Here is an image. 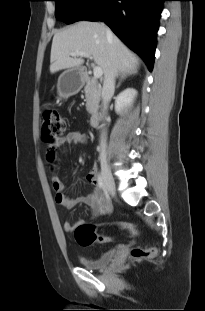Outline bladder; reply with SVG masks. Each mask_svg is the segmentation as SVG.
<instances>
[{"label":"bladder","instance_id":"31cf9c89","mask_svg":"<svg viewBox=\"0 0 205 311\" xmlns=\"http://www.w3.org/2000/svg\"><path fill=\"white\" fill-rule=\"evenodd\" d=\"M117 254L118 249L111 248L102 252L95 258H90L85 254H80L78 258L84 268L88 270H101L111 264L116 259Z\"/></svg>","mask_w":205,"mask_h":311}]
</instances>
